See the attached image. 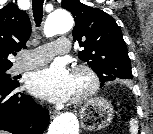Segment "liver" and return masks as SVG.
Here are the masks:
<instances>
[{
    "mask_svg": "<svg viewBox=\"0 0 153 134\" xmlns=\"http://www.w3.org/2000/svg\"><path fill=\"white\" fill-rule=\"evenodd\" d=\"M0 134H6L4 131H0Z\"/></svg>",
    "mask_w": 153,
    "mask_h": 134,
    "instance_id": "1",
    "label": "liver"
}]
</instances>
